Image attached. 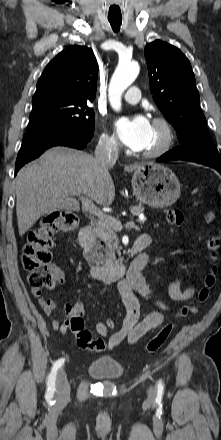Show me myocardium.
<instances>
[{
  "label": "myocardium",
  "instance_id": "obj_1",
  "mask_svg": "<svg viewBox=\"0 0 221 440\" xmlns=\"http://www.w3.org/2000/svg\"><path fill=\"white\" fill-rule=\"evenodd\" d=\"M153 125L161 129L163 138L158 146L142 152V155L146 158H156L166 154L171 149L175 140L173 127L166 118L162 116L155 117L153 119Z\"/></svg>",
  "mask_w": 221,
  "mask_h": 440
}]
</instances>
